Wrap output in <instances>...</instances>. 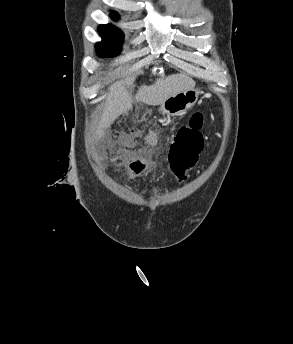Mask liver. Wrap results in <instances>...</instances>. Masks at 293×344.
<instances>
[{"instance_id":"liver-1","label":"liver","mask_w":293,"mask_h":344,"mask_svg":"<svg viewBox=\"0 0 293 344\" xmlns=\"http://www.w3.org/2000/svg\"><path fill=\"white\" fill-rule=\"evenodd\" d=\"M134 81L135 77H131L127 78L125 83L133 84ZM123 83V81H117L109 88L99 122L102 129L108 128L120 115L132 108V98ZM195 84V81L186 75L173 74L157 79L153 85L141 86L135 94V100L147 105H161L171 96L194 89Z\"/></svg>"}]
</instances>
